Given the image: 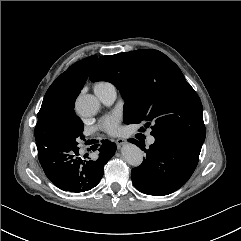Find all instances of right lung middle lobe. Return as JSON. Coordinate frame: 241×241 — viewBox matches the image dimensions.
I'll list each match as a JSON object with an SVG mask.
<instances>
[{"instance_id": "1", "label": "right lung middle lobe", "mask_w": 241, "mask_h": 241, "mask_svg": "<svg viewBox=\"0 0 241 241\" xmlns=\"http://www.w3.org/2000/svg\"><path fill=\"white\" fill-rule=\"evenodd\" d=\"M48 124V129L42 138H37L38 144L65 145L79 147L80 140L84 139L83 122L74 111H44L38 114Z\"/></svg>"}]
</instances>
